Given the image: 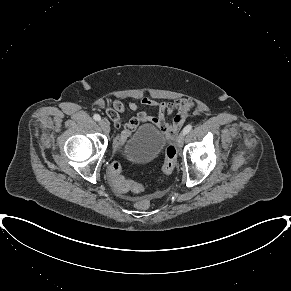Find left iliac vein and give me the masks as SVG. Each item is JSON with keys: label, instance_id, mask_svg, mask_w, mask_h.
<instances>
[{"label": "left iliac vein", "instance_id": "obj_1", "mask_svg": "<svg viewBox=\"0 0 291 291\" xmlns=\"http://www.w3.org/2000/svg\"><path fill=\"white\" fill-rule=\"evenodd\" d=\"M184 137H185V135L183 133H180L179 136L177 137V145H178V147H182L183 146Z\"/></svg>", "mask_w": 291, "mask_h": 291}]
</instances>
